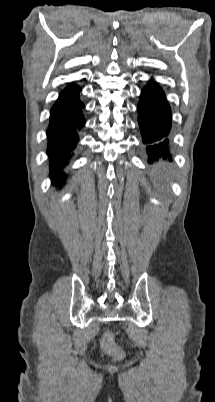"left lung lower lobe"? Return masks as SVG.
<instances>
[{
    "instance_id": "left-lung-lower-lobe-1",
    "label": "left lung lower lobe",
    "mask_w": 215,
    "mask_h": 402,
    "mask_svg": "<svg viewBox=\"0 0 215 402\" xmlns=\"http://www.w3.org/2000/svg\"><path fill=\"white\" fill-rule=\"evenodd\" d=\"M138 123L146 145L149 163L157 158L169 157L171 109L162 88L150 80L143 88L137 106Z\"/></svg>"
}]
</instances>
